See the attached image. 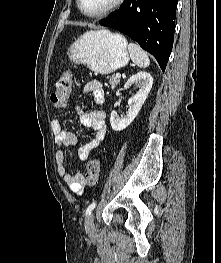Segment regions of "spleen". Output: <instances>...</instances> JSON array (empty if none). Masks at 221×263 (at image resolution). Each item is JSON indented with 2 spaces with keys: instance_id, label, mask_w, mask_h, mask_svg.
Wrapping results in <instances>:
<instances>
[{
  "instance_id": "1",
  "label": "spleen",
  "mask_w": 221,
  "mask_h": 263,
  "mask_svg": "<svg viewBox=\"0 0 221 263\" xmlns=\"http://www.w3.org/2000/svg\"><path fill=\"white\" fill-rule=\"evenodd\" d=\"M128 51L131 57V60L135 65L141 68H146L150 64V60L146 52L141 49V47L135 43H129Z\"/></svg>"
}]
</instances>
